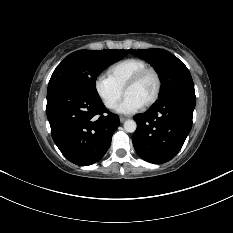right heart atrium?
Returning a JSON list of instances; mask_svg holds the SVG:
<instances>
[{"mask_svg": "<svg viewBox=\"0 0 233 233\" xmlns=\"http://www.w3.org/2000/svg\"><path fill=\"white\" fill-rule=\"evenodd\" d=\"M94 89L103 105L108 109L115 108L123 96V90L103 74L95 78Z\"/></svg>", "mask_w": 233, "mask_h": 233, "instance_id": "d8ad5b80", "label": "right heart atrium"}]
</instances>
